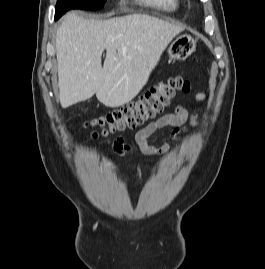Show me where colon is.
Here are the masks:
<instances>
[{"label":"colon","mask_w":265,"mask_h":269,"mask_svg":"<svg viewBox=\"0 0 265 269\" xmlns=\"http://www.w3.org/2000/svg\"><path fill=\"white\" fill-rule=\"evenodd\" d=\"M190 90V83L179 76L160 82L139 100L93 120L91 125L97 128L93 137H105L115 131L136 128L161 113L177 92L188 93Z\"/></svg>","instance_id":"colon-1"}]
</instances>
